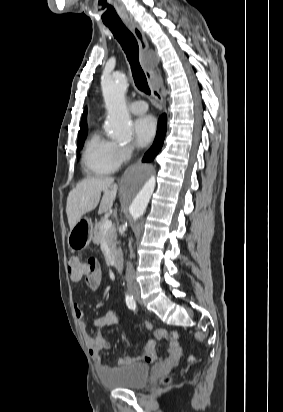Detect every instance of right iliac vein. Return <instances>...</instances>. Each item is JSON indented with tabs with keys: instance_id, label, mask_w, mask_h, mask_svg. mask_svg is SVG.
Masks as SVG:
<instances>
[{
	"instance_id": "1",
	"label": "right iliac vein",
	"mask_w": 283,
	"mask_h": 412,
	"mask_svg": "<svg viewBox=\"0 0 283 412\" xmlns=\"http://www.w3.org/2000/svg\"><path fill=\"white\" fill-rule=\"evenodd\" d=\"M130 294L135 297L136 299H139L140 297V290L139 288H133L129 290Z\"/></svg>"
}]
</instances>
